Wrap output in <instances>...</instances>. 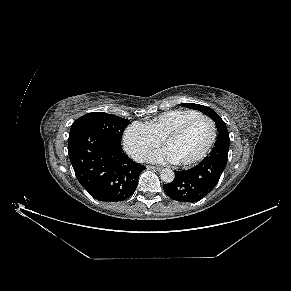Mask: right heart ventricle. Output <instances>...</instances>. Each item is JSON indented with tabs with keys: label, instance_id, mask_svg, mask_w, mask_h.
Segmentation results:
<instances>
[{
	"label": "right heart ventricle",
	"instance_id": "e07e8e85",
	"mask_svg": "<svg viewBox=\"0 0 291 291\" xmlns=\"http://www.w3.org/2000/svg\"><path fill=\"white\" fill-rule=\"evenodd\" d=\"M201 114L195 110L175 109L164 112L147 122L148 129L160 140L184 122Z\"/></svg>",
	"mask_w": 291,
	"mask_h": 291
}]
</instances>
